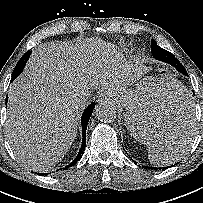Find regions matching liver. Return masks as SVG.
<instances>
[{"label": "liver", "mask_w": 203, "mask_h": 203, "mask_svg": "<svg viewBox=\"0 0 203 203\" xmlns=\"http://www.w3.org/2000/svg\"><path fill=\"white\" fill-rule=\"evenodd\" d=\"M101 40L51 42L35 48L9 88L6 133L15 156L35 172L52 169L68 152L77 134L81 107L91 89L113 98L125 91L130 67ZM84 96L86 100L78 102ZM187 119L165 112L149 131L156 143L191 129ZM186 130V131H185Z\"/></svg>", "instance_id": "obj_1"}]
</instances>
